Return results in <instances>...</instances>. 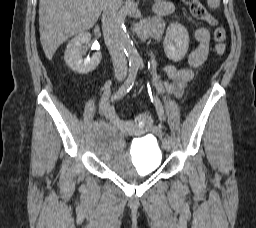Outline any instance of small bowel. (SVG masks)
I'll list each match as a JSON object with an SVG mask.
<instances>
[{"mask_svg":"<svg viewBox=\"0 0 256 228\" xmlns=\"http://www.w3.org/2000/svg\"><path fill=\"white\" fill-rule=\"evenodd\" d=\"M154 11L156 13V18L152 21V24L158 26L162 30L163 24L161 18L171 14L174 11V7L169 2L158 1L154 6ZM195 39L198 42V46L191 51L188 56V64L192 68L202 65L207 59L210 46V32L206 28L200 27L195 31ZM161 71L168 77L170 81L158 79V84L175 97H180L182 95L188 82L191 81L194 76L191 68H179L175 65L163 66ZM107 98L108 92L105 93L102 101V115L111 124L116 127H120L123 122L120 119L115 107L108 103ZM160 130V127L152 128L153 132H160Z\"/></svg>","mask_w":256,"mask_h":228,"instance_id":"obj_1","label":"small bowel"}]
</instances>
